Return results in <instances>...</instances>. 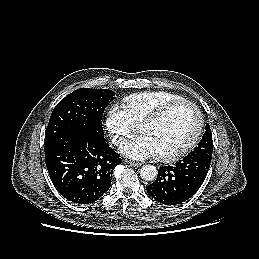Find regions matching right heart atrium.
<instances>
[{"label": "right heart atrium", "mask_w": 259, "mask_h": 259, "mask_svg": "<svg viewBox=\"0 0 259 259\" xmlns=\"http://www.w3.org/2000/svg\"><path fill=\"white\" fill-rule=\"evenodd\" d=\"M105 127L112 142L121 145L132 135L134 123L127 108L120 103H114L107 111Z\"/></svg>", "instance_id": "1"}]
</instances>
